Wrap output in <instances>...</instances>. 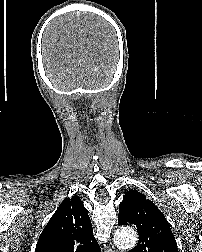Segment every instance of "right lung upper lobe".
<instances>
[{
  "label": "right lung upper lobe",
  "mask_w": 202,
  "mask_h": 252,
  "mask_svg": "<svg viewBox=\"0 0 202 252\" xmlns=\"http://www.w3.org/2000/svg\"><path fill=\"white\" fill-rule=\"evenodd\" d=\"M35 252H100L78 196L66 198L39 236Z\"/></svg>",
  "instance_id": "right-lung-upper-lobe-1"
}]
</instances>
